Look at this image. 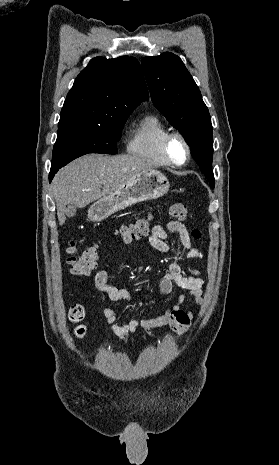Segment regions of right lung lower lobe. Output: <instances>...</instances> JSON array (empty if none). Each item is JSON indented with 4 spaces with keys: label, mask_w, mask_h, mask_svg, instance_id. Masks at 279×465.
I'll use <instances>...</instances> for the list:
<instances>
[{
    "label": "right lung lower lobe",
    "mask_w": 279,
    "mask_h": 465,
    "mask_svg": "<svg viewBox=\"0 0 279 465\" xmlns=\"http://www.w3.org/2000/svg\"><path fill=\"white\" fill-rule=\"evenodd\" d=\"M61 167H51L50 174H49V181L51 182L52 178L54 177L55 173L59 170Z\"/></svg>",
    "instance_id": "obj_1"
}]
</instances>
